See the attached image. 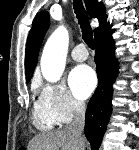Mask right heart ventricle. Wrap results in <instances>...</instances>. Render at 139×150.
Instances as JSON below:
<instances>
[{
	"instance_id": "right-heart-ventricle-1",
	"label": "right heart ventricle",
	"mask_w": 139,
	"mask_h": 150,
	"mask_svg": "<svg viewBox=\"0 0 139 150\" xmlns=\"http://www.w3.org/2000/svg\"><path fill=\"white\" fill-rule=\"evenodd\" d=\"M32 122L41 131H50L59 124L52 110L41 97L34 103Z\"/></svg>"
}]
</instances>
